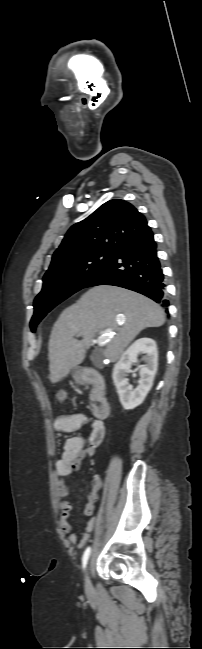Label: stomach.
<instances>
[{
    "label": "stomach",
    "instance_id": "obj_1",
    "mask_svg": "<svg viewBox=\"0 0 202 649\" xmlns=\"http://www.w3.org/2000/svg\"><path fill=\"white\" fill-rule=\"evenodd\" d=\"M75 373H76V370H74V375H73V376H74V378L76 377V376H75Z\"/></svg>",
    "mask_w": 202,
    "mask_h": 649
}]
</instances>
